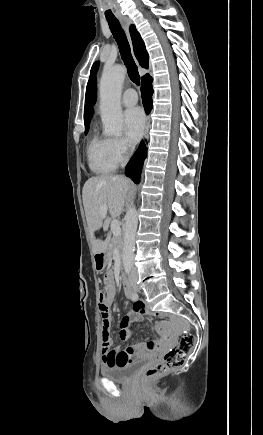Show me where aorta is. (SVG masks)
<instances>
[{
  "mask_svg": "<svg viewBox=\"0 0 263 435\" xmlns=\"http://www.w3.org/2000/svg\"><path fill=\"white\" fill-rule=\"evenodd\" d=\"M125 74V68L117 65L106 69L100 80V113L104 133L108 136H120L122 134L123 114L120 98ZM137 226V211L132 204L125 216L123 236L122 261L126 272H129L133 267Z\"/></svg>",
  "mask_w": 263,
  "mask_h": 435,
  "instance_id": "aorta-1",
  "label": "aorta"
}]
</instances>
